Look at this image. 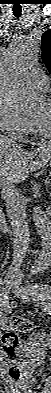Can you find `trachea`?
Segmentation results:
<instances>
[{
	"mask_svg": "<svg viewBox=\"0 0 51 393\" xmlns=\"http://www.w3.org/2000/svg\"><path fill=\"white\" fill-rule=\"evenodd\" d=\"M15 15V17H19L20 16V14H14Z\"/></svg>",
	"mask_w": 51,
	"mask_h": 393,
	"instance_id": "trachea-1",
	"label": "trachea"
}]
</instances>
